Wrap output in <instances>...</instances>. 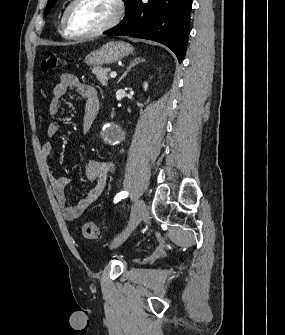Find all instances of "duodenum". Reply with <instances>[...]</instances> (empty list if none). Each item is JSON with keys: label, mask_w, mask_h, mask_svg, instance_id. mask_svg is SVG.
<instances>
[{"label": "duodenum", "mask_w": 285, "mask_h": 335, "mask_svg": "<svg viewBox=\"0 0 285 335\" xmlns=\"http://www.w3.org/2000/svg\"><path fill=\"white\" fill-rule=\"evenodd\" d=\"M98 111H99V106H95L90 112L91 117H96Z\"/></svg>", "instance_id": "duodenum-1"}]
</instances>
